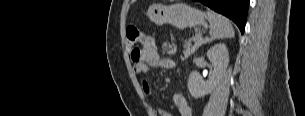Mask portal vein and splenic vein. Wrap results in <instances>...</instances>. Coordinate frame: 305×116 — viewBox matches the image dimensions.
Wrapping results in <instances>:
<instances>
[{"label":"portal vein and splenic vein","mask_w":305,"mask_h":116,"mask_svg":"<svg viewBox=\"0 0 305 116\" xmlns=\"http://www.w3.org/2000/svg\"><path fill=\"white\" fill-rule=\"evenodd\" d=\"M196 38L198 39V41H196V45H197V44H199L201 42L200 35L196 34Z\"/></svg>","instance_id":"18ae733b"}]
</instances>
